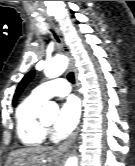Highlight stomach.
Segmentation results:
<instances>
[{"label":"stomach","instance_id":"1","mask_svg":"<svg viewBox=\"0 0 135 166\" xmlns=\"http://www.w3.org/2000/svg\"><path fill=\"white\" fill-rule=\"evenodd\" d=\"M23 157L20 155L12 157L10 161H7L6 166H43L42 165H34V162L30 161L28 165H22L23 164Z\"/></svg>","mask_w":135,"mask_h":166}]
</instances>
